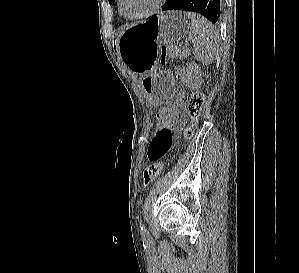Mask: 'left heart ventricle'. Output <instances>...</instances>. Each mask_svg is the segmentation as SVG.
<instances>
[{"mask_svg":"<svg viewBox=\"0 0 299 273\" xmlns=\"http://www.w3.org/2000/svg\"><path fill=\"white\" fill-rule=\"evenodd\" d=\"M156 0H123L122 10L127 16H137L146 12Z\"/></svg>","mask_w":299,"mask_h":273,"instance_id":"1","label":"left heart ventricle"}]
</instances>
